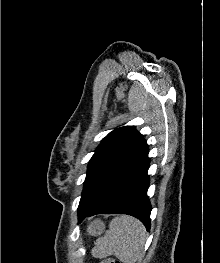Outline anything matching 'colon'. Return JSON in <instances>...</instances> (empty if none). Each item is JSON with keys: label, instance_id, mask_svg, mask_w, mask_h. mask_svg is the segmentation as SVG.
Masks as SVG:
<instances>
[{"label": "colon", "instance_id": "1", "mask_svg": "<svg viewBox=\"0 0 220 263\" xmlns=\"http://www.w3.org/2000/svg\"><path fill=\"white\" fill-rule=\"evenodd\" d=\"M101 263H121V262L113 258H107V259L102 260Z\"/></svg>", "mask_w": 220, "mask_h": 263}]
</instances>
